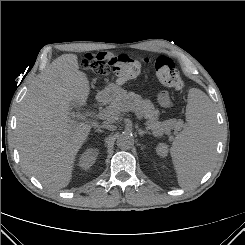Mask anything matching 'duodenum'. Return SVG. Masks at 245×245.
I'll use <instances>...</instances> for the list:
<instances>
[{
	"label": "duodenum",
	"mask_w": 245,
	"mask_h": 245,
	"mask_svg": "<svg viewBox=\"0 0 245 245\" xmlns=\"http://www.w3.org/2000/svg\"><path fill=\"white\" fill-rule=\"evenodd\" d=\"M107 99V96L106 95H100L98 98H97V101H96V105L97 106H100L102 105Z\"/></svg>",
	"instance_id": "1"
}]
</instances>
